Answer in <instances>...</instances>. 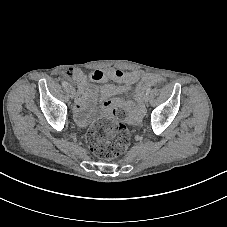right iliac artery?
<instances>
[{"mask_svg":"<svg viewBox=\"0 0 227 227\" xmlns=\"http://www.w3.org/2000/svg\"><path fill=\"white\" fill-rule=\"evenodd\" d=\"M62 85H63L64 87H68V86H69V83H68L67 81H63V82H62Z\"/></svg>","mask_w":227,"mask_h":227,"instance_id":"right-iliac-artery-1","label":"right iliac artery"}]
</instances>
